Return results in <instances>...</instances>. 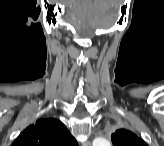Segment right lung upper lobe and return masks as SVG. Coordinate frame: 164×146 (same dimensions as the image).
Here are the masks:
<instances>
[{
	"label": "right lung upper lobe",
	"mask_w": 164,
	"mask_h": 146,
	"mask_svg": "<svg viewBox=\"0 0 164 146\" xmlns=\"http://www.w3.org/2000/svg\"><path fill=\"white\" fill-rule=\"evenodd\" d=\"M75 138L65 125L54 119L38 120L27 127L13 142L12 146H76Z\"/></svg>",
	"instance_id": "obj_1"
}]
</instances>
